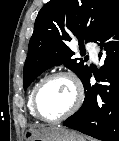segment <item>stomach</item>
I'll use <instances>...</instances> for the list:
<instances>
[{
    "label": "stomach",
    "mask_w": 119,
    "mask_h": 141,
    "mask_svg": "<svg viewBox=\"0 0 119 141\" xmlns=\"http://www.w3.org/2000/svg\"><path fill=\"white\" fill-rule=\"evenodd\" d=\"M24 138L25 141H86L81 134L61 127L28 129Z\"/></svg>",
    "instance_id": "stomach-1"
}]
</instances>
